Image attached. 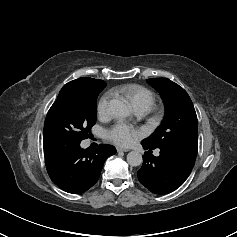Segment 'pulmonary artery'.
<instances>
[{
    "label": "pulmonary artery",
    "mask_w": 237,
    "mask_h": 237,
    "mask_svg": "<svg viewBox=\"0 0 237 237\" xmlns=\"http://www.w3.org/2000/svg\"><path fill=\"white\" fill-rule=\"evenodd\" d=\"M147 111H148V110H147L146 108H143V107H137V108H135V113H136V115H138V116H144V115L147 113ZM155 154L158 155L159 152L156 151Z\"/></svg>",
    "instance_id": "obj_1"
}]
</instances>
